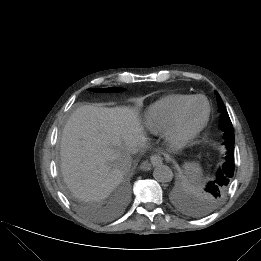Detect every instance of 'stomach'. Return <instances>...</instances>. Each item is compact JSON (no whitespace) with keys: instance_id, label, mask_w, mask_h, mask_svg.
Instances as JSON below:
<instances>
[{"instance_id":"1","label":"stomach","mask_w":261,"mask_h":261,"mask_svg":"<svg viewBox=\"0 0 261 261\" xmlns=\"http://www.w3.org/2000/svg\"><path fill=\"white\" fill-rule=\"evenodd\" d=\"M183 174L188 182H193L200 174V167L195 162L185 163L183 166Z\"/></svg>"}]
</instances>
